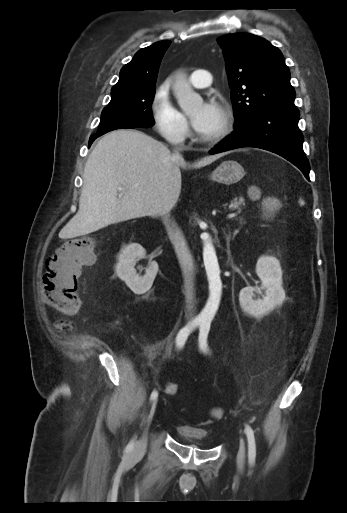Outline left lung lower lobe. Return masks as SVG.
I'll return each mask as SVG.
<instances>
[{"label": "left lung lower lobe", "instance_id": "1", "mask_svg": "<svg viewBox=\"0 0 347 513\" xmlns=\"http://www.w3.org/2000/svg\"><path fill=\"white\" fill-rule=\"evenodd\" d=\"M297 108L260 111L234 125V132L210 151L215 154L235 148L255 147L276 153L297 166L309 180L310 166L303 151Z\"/></svg>", "mask_w": 347, "mask_h": 513}]
</instances>
